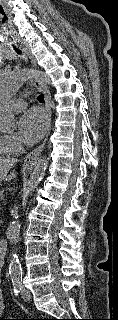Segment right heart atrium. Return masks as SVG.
Instances as JSON below:
<instances>
[{"instance_id":"d8ad5b80","label":"right heart atrium","mask_w":118,"mask_h":320,"mask_svg":"<svg viewBox=\"0 0 118 320\" xmlns=\"http://www.w3.org/2000/svg\"><path fill=\"white\" fill-rule=\"evenodd\" d=\"M4 139L8 149L10 150V153L18 152L21 149L22 143L18 136L6 135L4 136Z\"/></svg>"}]
</instances>
